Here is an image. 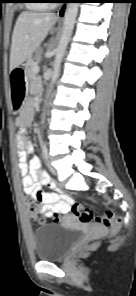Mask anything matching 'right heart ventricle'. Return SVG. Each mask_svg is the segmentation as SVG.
<instances>
[{
  "mask_svg": "<svg viewBox=\"0 0 136 296\" xmlns=\"http://www.w3.org/2000/svg\"><path fill=\"white\" fill-rule=\"evenodd\" d=\"M33 3H29L28 6L31 9H46L47 3L44 0H32Z\"/></svg>",
  "mask_w": 136,
  "mask_h": 296,
  "instance_id": "e07e8e85",
  "label": "right heart ventricle"
}]
</instances>
